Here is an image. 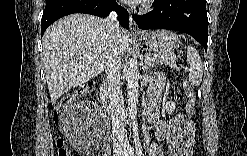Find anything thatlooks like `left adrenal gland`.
Segmentation results:
<instances>
[{"mask_svg": "<svg viewBox=\"0 0 247 156\" xmlns=\"http://www.w3.org/2000/svg\"><path fill=\"white\" fill-rule=\"evenodd\" d=\"M142 69H143L144 72L152 73L151 70L148 69L146 64L142 65Z\"/></svg>", "mask_w": 247, "mask_h": 156, "instance_id": "a2214340", "label": "left adrenal gland"}]
</instances>
